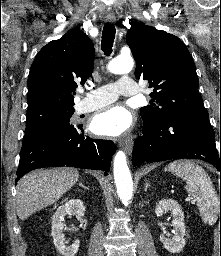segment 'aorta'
Instances as JSON below:
<instances>
[{"label": "aorta", "mask_w": 221, "mask_h": 256, "mask_svg": "<svg viewBox=\"0 0 221 256\" xmlns=\"http://www.w3.org/2000/svg\"><path fill=\"white\" fill-rule=\"evenodd\" d=\"M133 66L131 57H117L109 62L107 68L113 74H124L130 72ZM113 170L118 196L124 205H128L133 195V181L123 151L116 153Z\"/></svg>", "instance_id": "1"}]
</instances>
